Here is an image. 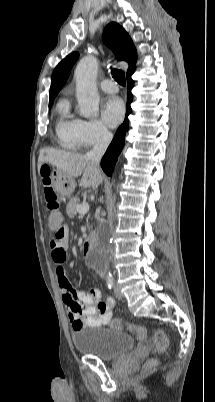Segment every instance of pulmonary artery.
I'll use <instances>...</instances> for the list:
<instances>
[{"mask_svg":"<svg viewBox=\"0 0 215 402\" xmlns=\"http://www.w3.org/2000/svg\"><path fill=\"white\" fill-rule=\"evenodd\" d=\"M100 87L106 93H116L118 91L117 85L110 79L102 80L100 82Z\"/></svg>","mask_w":215,"mask_h":402,"instance_id":"e3ab8cb5","label":"pulmonary artery"}]
</instances>
